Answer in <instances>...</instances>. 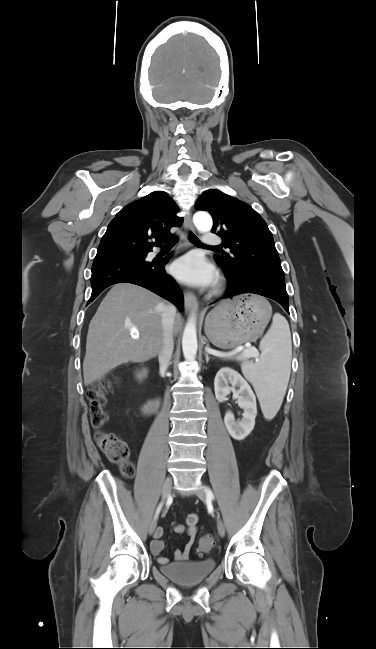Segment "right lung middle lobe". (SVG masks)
Returning <instances> with one entry per match:
<instances>
[{
  "instance_id": "right-lung-middle-lobe-1",
  "label": "right lung middle lobe",
  "mask_w": 376,
  "mask_h": 649,
  "mask_svg": "<svg viewBox=\"0 0 376 649\" xmlns=\"http://www.w3.org/2000/svg\"><path fill=\"white\" fill-rule=\"evenodd\" d=\"M146 252H127V253H117V254H108V255H96L94 261L103 260L110 257H125V258H136L144 256Z\"/></svg>"
}]
</instances>
